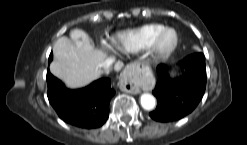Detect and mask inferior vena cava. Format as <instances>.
<instances>
[{
	"label": "inferior vena cava",
	"instance_id": "602c4592",
	"mask_svg": "<svg viewBox=\"0 0 247 145\" xmlns=\"http://www.w3.org/2000/svg\"><path fill=\"white\" fill-rule=\"evenodd\" d=\"M112 64L113 61L111 59L105 60L100 64V68H101L100 72L104 74H108L111 70Z\"/></svg>",
	"mask_w": 247,
	"mask_h": 145
}]
</instances>
